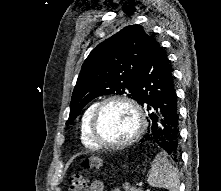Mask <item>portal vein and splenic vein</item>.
<instances>
[{
	"label": "portal vein and splenic vein",
	"instance_id": "18ae733b",
	"mask_svg": "<svg viewBox=\"0 0 221 191\" xmlns=\"http://www.w3.org/2000/svg\"><path fill=\"white\" fill-rule=\"evenodd\" d=\"M143 184H144L143 182H139V183H138V186H139V187H142Z\"/></svg>",
	"mask_w": 221,
	"mask_h": 191
}]
</instances>
